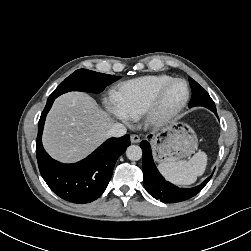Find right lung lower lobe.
I'll return each mask as SVG.
<instances>
[{
	"instance_id": "98d812e1",
	"label": "right lung lower lobe",
	"mask_w": 251,
	"mask_h": 251,
	"mask_svg": "<svg viewBox=\"0 0 251 251\" xmlns=\"http://www.w3.org/2000/svg\"><path fill=\"white\" fill-rule=\"evenodd\" d=\"M55 98H48L38 122L36 154L40 173L50 189L62 199L77 204L92 202L105 191L116 160L130 145V137L110 138L87 158L74 164L55 161L46 153L41 140L45 118Z\"/></svg>"
}]
</instances>
